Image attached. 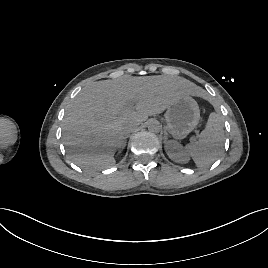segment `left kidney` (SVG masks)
<instances>
[{
    "mask_svg": "<svg viewBox=\"0 0 268 268\" xmlns=\"http://www.w3.org/2000/svg\"><path fill=\"white\" fill-rule=\"evenodd\" d=\"M166 152L171 160L177 163H187L189 161L188 154L183 147L175 141H169L166 144Z\"/></svg>",
    "mask_w": 268,
    "mask_h": 268,
    "instance_id": "obj_1",
    "label": "left kidney"
}]
</instances>
